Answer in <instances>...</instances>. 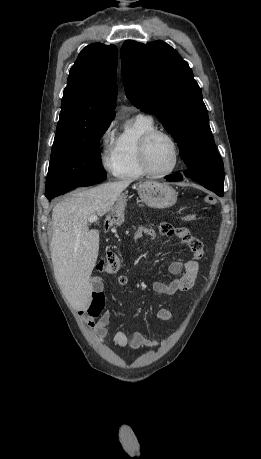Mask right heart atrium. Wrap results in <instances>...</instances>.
Returning <instances> with one entry per match:
<instances>
[{"label":"right heart atrium","instance_id":"right-heart-atrium-1","mask_svg":"<svg viewBox=\"0 0 261 459\" xmlns=\"http://www.w3.org/2000/svg\"><path fill=\"white\" fill-rule=\"evenodd\" d=\"M112 132H113V124H110L106 127V129L103 131L101 135L100 158H101V163L104 169L107 172L115 175L116 169H117V163H116L115 155H114L113 148L111 145Z\"/></svg>","mask_w":261,"mask_h":459}]
</instances>
